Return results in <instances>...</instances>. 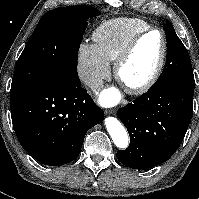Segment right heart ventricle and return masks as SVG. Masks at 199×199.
<instances>
[{
    "label": "right heart ventricle",
    "instance_id": "obj_1",
    "mask_svg": "<svg viewBox=\"0 0 199 199\" xmlns=\"http://www.w3.org/2000/svg\"><path fill=\"white\" fill-rule=\"evenodd\" d=\"M150 27L148 22L139 18L112 19L95 29L93 40L103 57L111 63L135 35Z\"/></svg>",
    "mask_w": 199,
    "mask_h": 199
}]
</instances>
